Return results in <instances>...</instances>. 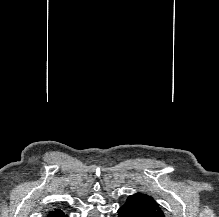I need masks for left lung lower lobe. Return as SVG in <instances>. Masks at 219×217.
Segmentation results:
<instances>
[{"label": "left lung lower lobe", "mask_w": 219, "mask_h": 217, "mask_svg": "<svg viewBox=\"0 0 219 217\" xmlns=\"http://www.w3.org/2000/svg\"><path fill=\"white\" fill-rule=\"evenodd\" d=\"M118 217H146L131 202H126L118 209Z\"/></svg>", "instance_id": "0a47b994"}]
</instances>
